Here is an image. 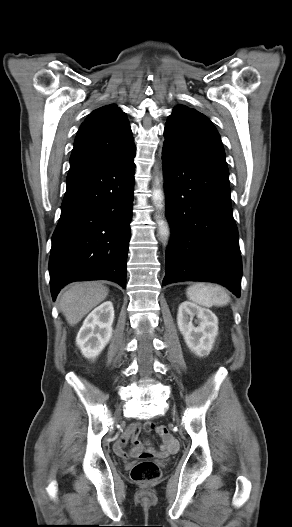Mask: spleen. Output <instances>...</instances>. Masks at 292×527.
Returning a JSON list of instances; mask_svg holds the SVG:
<instances>
[{"label": "spleen", "instance_id": "3e777b00", "mask_svg": "<svg viewBox=\"0 0 292 527\" xmlns=\"http://www.w3.org/2000/svg\"><path fill=\"white\" fill-rule=\"evenodd\" d=\"M186 295L189 300L205 307L224 306L230 302V297L224 288L203 283L188 287Z\"/></svg>", "mask_w": 292, "mask_h": 527}]
</instances>
